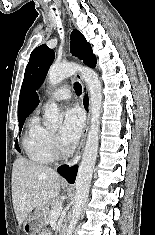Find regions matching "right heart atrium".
I'll list each match as a JSON object with an SVG mask.
<instances>
[{
  "instance_id": "obj_1",
  "label": "right heart atrium",
  "mask_w": 155,
  "mask_h": 235,
  "mask_svg": "<svg viewBox=\"0 0 155 235\" xmlns=\"http://www.w3.org/2000/svg\"><path fill=\"white\" fill-rule=\"evenodd\" d=\"M51 142L53 145H56V138L53 135H51Z\"/></svg>"
}]
</instances>
